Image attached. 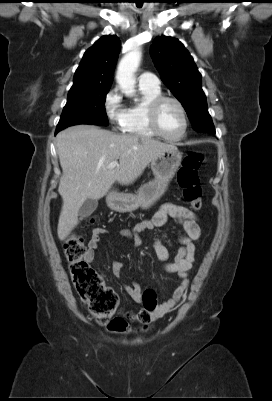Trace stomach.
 I'll return each mask as SVG.
<instances>
[{"mask_svg":"<svg viewBox=\"0 0 272 401\" xmlns=\"http://www.w3.org/2000/svg\"><path fill=\"white\" fill-rule=\"evenodd\" d=\"M182 160V153L175 147L168 149L151 161L154 179L133 193L112 192L107 195L109 208L118 212H132L138 208L149 209L165 193Z\"/></svg>","mask_w":272,"mask_h":401,"instance_id":"stomach-1","label":"stomach"}]
</instances>
